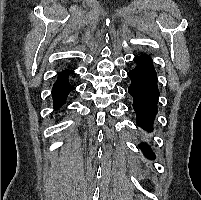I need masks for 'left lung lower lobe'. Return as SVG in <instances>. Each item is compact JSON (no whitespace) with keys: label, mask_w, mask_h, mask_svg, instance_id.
Listing matches in <instances>:
<instances>
[{"label":"left lung lower lobe","mask_w":201,"mask_h":200,"mask_svg":"<svg viewBox=\"0 0 201 200\" xmlns=\"http://www.w3.org/2000/svg\"><path fill=\"white\" fill-rule=\"evenodd\" d=\"M136 67L129 71L131 85L129 94L133 97V108L136 112L138 126L152 131V124L157 114L159 90L157 87V74L152 64V59L146 54L134 58ZM144 155L154 159L155 155L147 144H141Z\"/></svg>","instance_id":"1"}]
</instances>
